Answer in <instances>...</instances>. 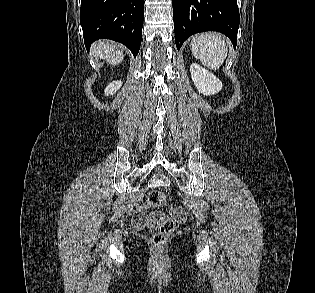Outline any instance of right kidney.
I'll return each mask as SVG.
<instances>
[{
	"label": "right kidney",
	"mask_w": 315,
	"mask_h": 293,
	"mask_svg": "<svg viewBox=\"0 0 315 293\" xmlns=\"http://www.w3.org/2000/svg\"><path fill=\"white\" fill-rule=\"evenodd\" d=\"M122 86V81H113L112 83H110L104 90L105 95H113L114 93H116V91H118V89Z\"/></svg>",
	"instance_id": "1"
}]
</instances>
